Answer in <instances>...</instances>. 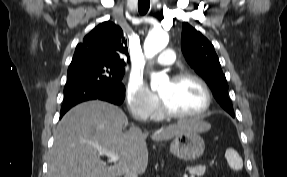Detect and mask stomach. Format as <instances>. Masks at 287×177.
Segmentation results:
<instances>
[{
  "label": "stomach",
  "mask_w": 287,
  "mask_h": 177,
  "mask_svg": "<svg viewBox=\"0 0 287 177\" xmlns=\"http://www.w3.org/2000/svg\"><path fill=\"white\" fill-rule=\"evenodd\" d=\"M205 150V143L197 130H188L174 137L170 144V151L179 159L194 161Z\"/></svg>",
  "instance_id": "obj_1"
}]
</instances>
